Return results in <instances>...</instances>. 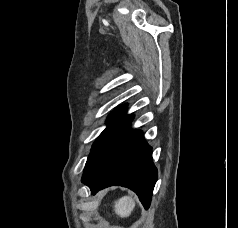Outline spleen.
Returning a JSON list of instances; mask_svg holds the SVG:
<instances>
[{
    "label": "spleen",
    "mask_w": 238,
    "mask_h": 228,
    "mask_svg": "<svg viewBox=\"0 0 238 228\" xmlns=\"http://www.w3.org/2000/svg\"><path fill=\"white\" fill-rule=\"evenodd\" d=\"M135 197L126 195L115 201L114 211L121 218L128 217L135 208Z\"/></svg>",
    "instance_id": "1"
}]
</instances>
